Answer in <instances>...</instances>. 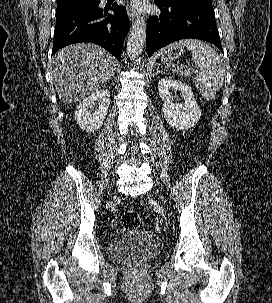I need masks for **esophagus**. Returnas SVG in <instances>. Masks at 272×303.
I'll use <instances>...</instances> for the list:
<instances>
[{
  "instance_id": "esophagus-1",
  "label": "esophagus",
  "mask_w": 272,
  "mask_h": 303,
  "mask_svg": "<svg viewBox=\"0 0 272 303\" xmlns=\"http://www.w3.org/2000/svg\"><path fill=\"white\" fill-rule=\"evenodd\" d=\"M137 12L135 10L129 9L128 10V17L129 19L132 21L135 19V17H137Z\"/></svg>"
}]
</instances>
